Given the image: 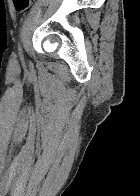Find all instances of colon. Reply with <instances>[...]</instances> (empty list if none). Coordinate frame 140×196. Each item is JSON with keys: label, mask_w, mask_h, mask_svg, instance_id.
Masks as SVG:
<instances>
[{"label": "colon", "mask_w": 140, "mask_h": 196, "mask_svg": "<svg viewBox=\"0 0 140 196\" xmlns=\"http://www.w3.org/2000/svg\"><path fill=\"white\" fill-rule=\"evenodd\" d=\"M24 1L22 0H14V4L16 7H18L19 5H22ZM27 3L29 2V0L26 1Z\"/></svg>", "instance_id": "5ec220e1"}]
</instances>
